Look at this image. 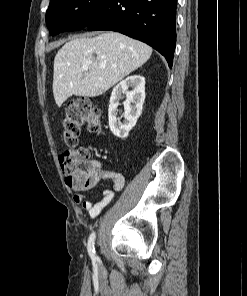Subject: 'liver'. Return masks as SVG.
I'll list each match as a JSON object with an SVG mask.
<instances>
[{"mask_svg":"<svg viewBox=\"0 0 247 296\" xmlns=\"http://www.w3.org/2000/svg\"><path fill=\"white\" fill-rule=\"evenodd\" d=\"M147 44L117 32L65 43L54 59L53 94L58 107L71 96L96 97L143 65Z\"/></svg>","mask_w":247,"mask_h":296,"instance_id":"liver-1","label":"liver"}]
</instances>
